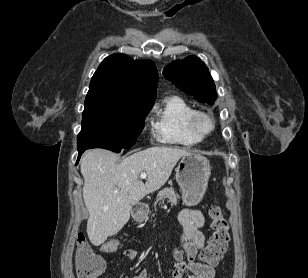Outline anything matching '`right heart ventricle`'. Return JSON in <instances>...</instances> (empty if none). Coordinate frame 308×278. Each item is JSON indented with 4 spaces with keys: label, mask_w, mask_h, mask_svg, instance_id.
<instances>
[{
    "label": "right heart ventricle",
    "mask_w": 308,
    "mask_h": 278,
    "mask_svg": "<svg viewBox=\"0 0 308 278\" xmlns=\"http://www.w3.org/2000/svg\"><path fill=\"white\" fill-rule=\"evenodd\" d=\"M196 110L179 96H167L153 115V129L157 139L166 144L193 146L201 138L192 133L188 118Z\"/></svg>",
    "instance_id": "e07e8e85"
}]
</instances>
